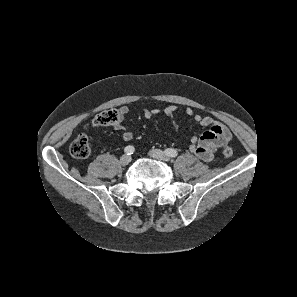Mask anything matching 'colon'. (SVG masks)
<instances>
[{
    "label": "colon",
    "instance_id": "1",
    "mask_svg": "<svg viewBox=\"0 0 297 297\" xmlns=\"http://www.w3.org/2000/svg\"><path fill=\"white\" fill-rule=\"evenodd\" d=\"M120 120L119 110L111 109L97 114L93 119L95 126L115 125ZM91 148L88 137L84 134L79 135L70 145V153L76 159H85L90 155ZM222 158L229 159L232 156V149L229 146L223 147Z\"/></svg>",
    "mask_w": 297,
    "mask_h": 297
}]
</instances>
